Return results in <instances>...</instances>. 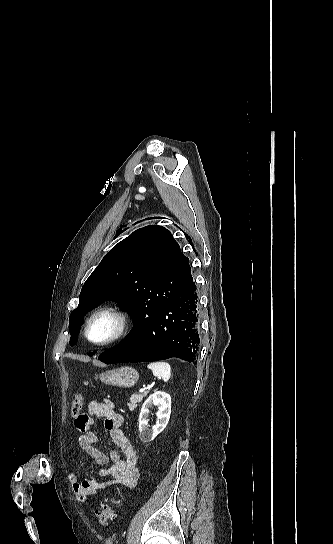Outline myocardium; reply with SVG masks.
Instances as JSON below:
<instances>
[{
  "label": "myocardium",
  "mask_w": 333,
  "mask_h": 544,
  "mask_svg": "<svg viewBox=\"0 0 333 544\" xmlns=\"http://www.w3.org/2000/svg\"><path fill=\"white\" fill-rule=\"evenodd\" d=\"M101 315L111 316L115 320L116 328L113 334L107 339L102 341H95L90 338L89 329L93 321ZM129 322L130 320H129V316L127 312L124 309H122L120 306L113 303L104 304L96 308L88 317L84 327V336L87 339V341L93 345H96V346L110 345L120 340L126 334L129 328Z\"/></svg>",
  "instance_id": "obj_1"
}]
</instances>
